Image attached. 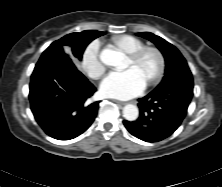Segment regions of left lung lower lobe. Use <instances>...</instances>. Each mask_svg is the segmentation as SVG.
Here are the masks:
<instances>
[{"instance_id":"left-lung-lower-lobe-1","label":"left lung lower lobe","mask_w":222,"mask_h":187,"mask_svg":"<svg viewBox=\"0 0 222 187\" xmlns=\"http://www.w3.org/2000/svg\"><path fill=\"white\" fill-rule=\"evenodd\" d=\"M183 89L173 95L151 92L138 99L140 116L136 121L123 123L135 137L146 142H158L180 126L193 96V79L182 80Z\"/></svg>"}]
</instances>
